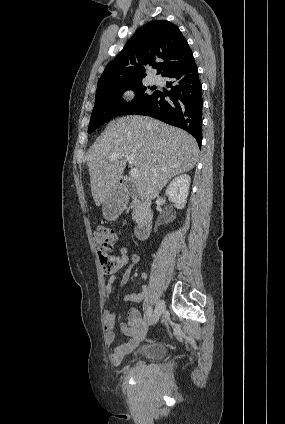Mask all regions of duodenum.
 <instances>
[{
    "label": "duodenum",
    "mask_w": 285,
    "mask_h": 424,
    "mask_svg": "<svg viewBox=\"0 0 285 424\" xmlns=\"http://www.w3.org/2000/svg\"><path fill=\"white\" fill-rule=\"evenodd\" d=\"M121 188L127 193L137 191V185L131 177H123L120 180ZM138 223L135 230V235L138 240H146L151 232L154 213L148 204L144 201H139L138 205Z\"/></svg>",
    "instance_id": "1"
}]
</instances>
